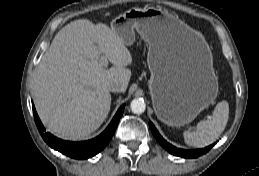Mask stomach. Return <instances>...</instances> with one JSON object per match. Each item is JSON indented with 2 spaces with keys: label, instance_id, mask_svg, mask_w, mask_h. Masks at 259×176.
Masks as SVG:
<instances>
[{
  "label": "stomach",
  "instance_id": "obj_1",
  "mask_svg": "<svg viewBox=\"0 0 259 176\" xmlns=\"http://www.w3.org/2000/svg\"><path fill=\"white\" fill-rule=\"evenodd\" d=\"M110 28L129 46L135 31L149 46V90L157 117L167 125L189 124L218 94V81L203 40L173 15L154 7L131 8Z\"/></svg>",
  "mask_w": 259,
  "mask_h": 176
}]
</instances>
